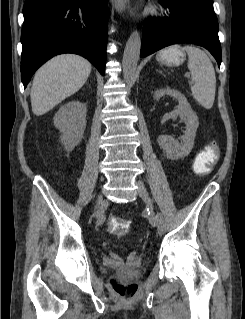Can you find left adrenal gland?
<instances>
[{
    "mask_svg": "<svg viewBox=\"0 0 245 319\" xmlns=\"http://www.w3.org/2000/svg\"><path fill=\"white\" fill-rule=\"evenodd\" d=\"M157 71H158L159 73H161L162 75H164L162 70H157Z\"/></svg>",
    "mask_w": 245,
    "mask_h": 319,
    "instance_id": "obj_1",
    "label": "left adrenal gland"
}]
</instances>
